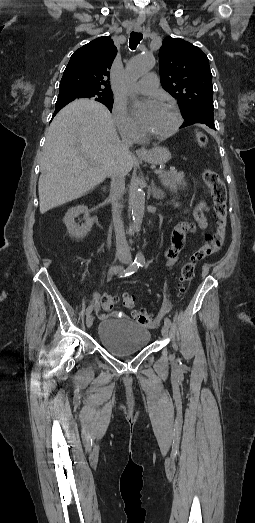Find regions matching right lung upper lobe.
<instances>
[{
    "label": "right lung upper lobe",
    "mask_w": 255,
    "mask_h": 523,
    "mask_svg": "<svg viewBox=\"0 0 255 523\" xmlns=\"http://www.w3.org/2000/svg\"><path fill=\"white\" fill-rule=\"evenodd\" d=\"M117 48L109 36L99 37L74 52L63 73L59 91L78 90L91 93L113 94L109 69L116 57ZM67 102H56L53 116ZM112 110V104L106 105Z\"/></svg>",
    "instance_id": "obj_1"
}]
</instances>
